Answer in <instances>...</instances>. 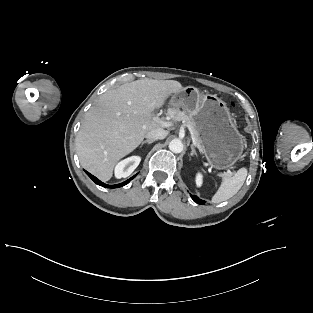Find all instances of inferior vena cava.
<instances>
[{
    "mask_svg": "<svg viewBox=\"0 0 313 313\" xmlns=\"http://www.w3.org/2000/svg\"><path fill=\"white\" fill-rule=\"evenodd\" d=\"M168 132L164 129H154L146 134V138L148 140H158L164 139L167 136Z\"/></svg>",
    "mask_w": 313,
    "mask_h": 313,
    "instance_id": "602c4592",
    "label": "inferior vena cava"
}]
</instances>
